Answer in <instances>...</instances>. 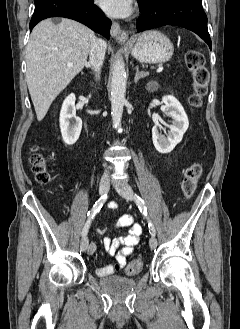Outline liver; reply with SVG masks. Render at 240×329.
<instances>
[{"instance_id":"obj_1","label":"liver","mask_w":240,"mask_h":329,"mask_svg":"<svg viewBox=\"0 0 240 329\" xmlns=\"http://www.w3.org/2000/svg\"><path fill=\"white\" fill-rule=\"evenodd\" d=\"M94 39L93 31L70 19L58 24L45 20L34 27L26 47V82L38 121L87 65Z\"/></svg>"}]
</instances>
